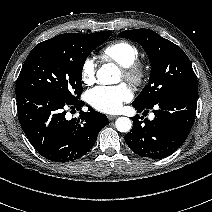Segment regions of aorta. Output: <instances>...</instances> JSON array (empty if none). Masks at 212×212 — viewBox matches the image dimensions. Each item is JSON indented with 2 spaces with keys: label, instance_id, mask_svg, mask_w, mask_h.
<instances>
[{
  "label": "aorta",
  "instance_id": "aorta-1",
  "mask_svg": "<svg viewBox=\"0 0 212 212\" xmlns=\"http://www.w3.org/2000/svg\"><path fill=\"white\" fill-rule=\"evenodd\" d=\"M115 67L111 64L104 65L97 72V78L101 83L108 84L112 82V75L114 74ZM116 129L119 132H129L132 128V122L127 117H119L116 122Z\"/></svg>",
  "mask_w": 212,
  "mask_h": 212
}]
</instances>
